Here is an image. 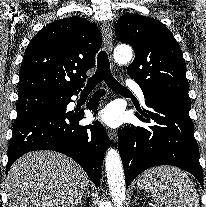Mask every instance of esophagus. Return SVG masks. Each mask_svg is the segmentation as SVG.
Masks as SVG:
<instances>
[{"mask_svg": "<svg viewBox=\"0 0 206 207\" xmlns=\"http://www.w3.org/2000/svg\"><path fill=\"white\" fill-rule=\"evenodd\" d=\"M102 35L106 50L110 53L113 47V33L112 26L109 22L105 21L102 24ZM109 139L112 142H116L118 138V132L116 130H108Z\"/></svg>", "mask_w": 206, "mask_h": 207, "instance_id": "esophagus-1", "label": "esophagus"}]
</instances>
